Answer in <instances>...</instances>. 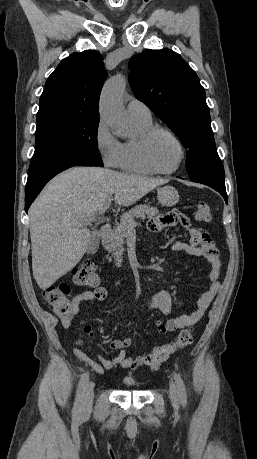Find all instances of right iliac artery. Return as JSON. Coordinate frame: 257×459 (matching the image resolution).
Wrapping results in <instances>:
<instances>
[{
  "mask_svg": "<svg viewBox=\"0 0 257 459\" xmlns=\"http://www.w3.org/2000/svg\"><path fill=\"white\" fill-rule=\"evenodd\" d=\"M88 380H89V374L88 372H86L81 376V379L78 384V388L76 392V399H75V403L73 407V415L75 416H77L81 411L83 391H84L85 385L87 384Z\"/></svg>",
  "mask_w": 257,
  "mask_h": 459,
  "instance_id": "1",
  "label": "right iliac artery"
}]
</instances>
